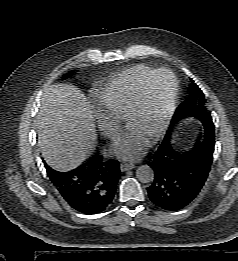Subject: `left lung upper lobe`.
Returning <instances> with one entry per match:
<instances>
[{"label": "left lung upper lobe", "mask_w": 238, "mask_h": 261, "mask_svg": "<svg viewBox=\"0 0 238 261\" xmlns=\"http://www.w3.org/2000/svg\"><path fill=\"white\" fill-rule=\"evenodd\" d=\"M192 94L191 97L185 100L183 103L180 104V106L176 109L175 114L172 118L171 125L169 127V130L167 131V134L164 138V140L170 139V132L173 128V126L180 121L181 119H184L188 116H195L199 118L200 120L204 119L202 118V115H204L210 122H212V118L210 116L209 111L207 110L206 104H205V97L200 88L192 81ZM203 116V117H204Z\"/></svg>", "instance_id": "5c2ea615"}]
</instances>
